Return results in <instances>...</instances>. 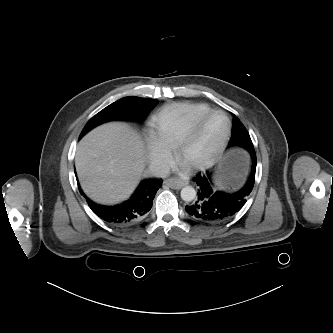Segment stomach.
<instances>
[{
    "mask_svg": "<svg viewBox=\"0 0 333 333\" xmlns=\"http://www.w3.org/2000/svg\"><path fill=\"white\" fill-rule=\"evenodd\" d=\"M247 164L246 153L234 151L227 154L217 167L216 182L224 189H236L246 172Z\"/></svg>",
    "mask_w": 333,
    "mask_h": 333,
    "instance_id": "obj_1",
    "label": "stomach"
}]
</instances>
